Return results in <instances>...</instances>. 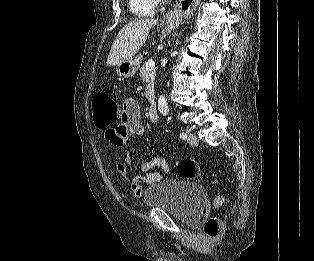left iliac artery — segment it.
I'll return each instance as SVG.
<instances>
[{"mask_svg":"<svg viewBox=\"0 0 314 261\" xmlns=\"http://www.w3.org/2000/svg\"><path fill=\"white\" fill-rule=\"evenodd\" d=\"M180 138L181 139H186L187 138V135L185 133H180Z\"/></svg>","mask_w":314,"mask_h":261,"instance_id":"left-iliac-artery-1","label":"left iliac artery"}]
</instances>
